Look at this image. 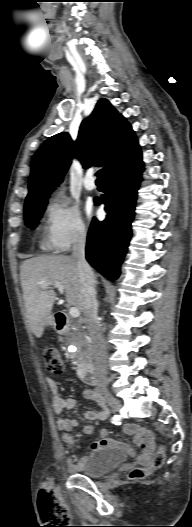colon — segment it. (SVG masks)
I'll return each instance as SVG.
<instances>
[{"mask_svg":"<svg viewBox=\"0 0 192 527\" xmlns=\"http://www.w3.org/2000/svg\"><path fill=\"white\" fill-rule=\"evenodd\" d=\"M44 360L46 363L47 369L55 374H61L66 368V363L62 358L59 350L55 347H48L44 350ZM66 442L70 445H74L76 440L72 436H66ZM165 453L163 448H160L156 455L154 456L152 467L158 468L164 462ZM148 474V470L145 469H135L131 472V477L133 478H143ZM40 501L43 505V513H46V504L47 503H56L52 485L50 481L44 482L40 490ZM62 512H66V509L59 505Z\"/></svg>","mask_w":192,"mask_h":527,"instance_id":"colon-1","label":"colon"}]
</instances>
